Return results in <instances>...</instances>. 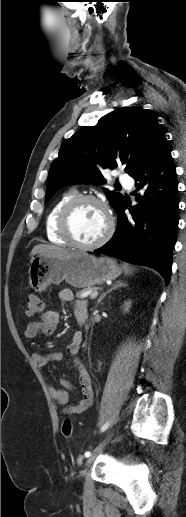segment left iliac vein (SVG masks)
Masks as SVG:
<instances>
[{
    "instance_id": "obj_1",
    "label": "left iliac vein",
    "mask_w": 186,
    "mask_h": 517,
    "mask_svg": "<svg viewBox=\"0 0 186 517\" xmlns=\"http://www.w3.org/2000/svg\"><path fill=\"white\" fill-rule=\"evenodd\" d=\"M112 434H110L97 448H96V453H100L103 448L105 447V445L107 444V442L109 441L110 437H111ZM95 459V456L94 455H91L87 458L86 462H85V465L86 467L90 466V464L94 461Z\"/></svg>"
}]
</instances>
